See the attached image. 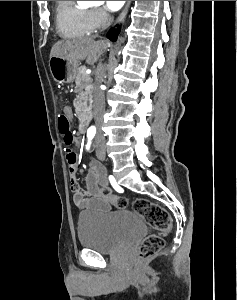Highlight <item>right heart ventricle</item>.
<instances>
[{"label": "right heart ventricle", "mask_w": 237, "mask_h": 300, "mask_svg": "<svg viewBox=\"0 0 237 300\" xmlns=\"http://www.w3.org/2000/svg\"><path fill=\"white\" fill-rule=\"evenodd\" d=\"M56 27L64 37L86 34L87 11L75 1H56Z\"/></svg>", "instance_id": "1"}]
</instances>
